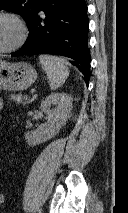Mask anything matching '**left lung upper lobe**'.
Here are the masks:
<instances>
[{
    "label": "left lung upper lobe",
    "instance_id": "1",
    "mask_svg": "<svg viewBox=\"0 0 128 213\" xmlns=\"http://www.w3.org/2000/svg\"><path fill=\"white\" fill-rule=\"evenodd\" d=\"M38 1L39 0H0V10L6 9L22 15L23 19L27 22V26H29Z\"/></svg>",
    "mask_w": 128,
    "mask_h": 213
}]
</instances>
